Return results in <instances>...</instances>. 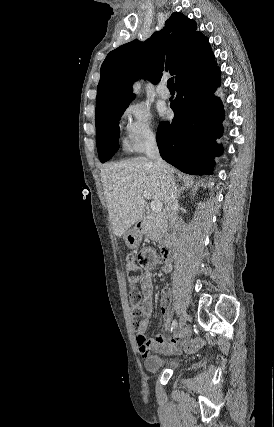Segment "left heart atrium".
<instances>
[{
  "label": "left heart atrium",
  "mask_w": 274,
  "mask_h": 427,
  "mask_svg": "<svg viewBox=\"0 0 274 427\" xmlns=\"http://www.w3.org/2000/svg\"><path fill=\"white\" fill-rule=\"evenodd\" d=\"M158 113H159V115H160L162 118L167 117V110H166L165 108H160V109L158 110Z\"/></svg>",
  "instance_id": "39dd6f15"
}]
</instances>
